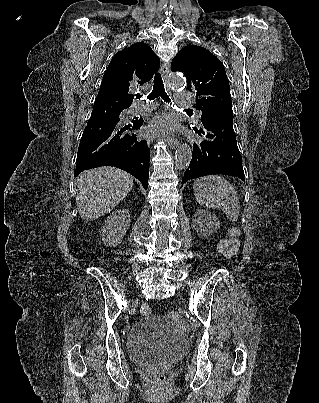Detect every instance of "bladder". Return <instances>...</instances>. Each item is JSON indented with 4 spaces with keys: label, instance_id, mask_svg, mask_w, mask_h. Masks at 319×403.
<instances>
[{
    "label": "bladder",
    "instance_id": "31cf9c89",
    "mask_svg": "<svg viewBox=\"0 0 319 403\" xmlns=\"http://www.w3.org/2000/svg\"><path fill=\"white\" fill-rule=\"evenodd\" d=\"M186 349V336L163 316H144L128 333L129 358L136 363L155 365L178 359Z\"/></svg>",
    "mask_w": 319,
    "mask_h": 403
}]
</instances>
